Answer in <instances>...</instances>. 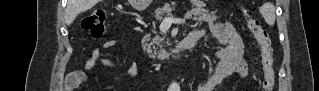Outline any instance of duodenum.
<instances>
[{
    "label": "duodenum",
    "mask_w": 319,
    "mask_h": 91,
    "mask_svg": "<svg viewBox=\"0 0 319 91\" xmlns=\"http://www.w3.org/2000/svg\"><path fill=\"white\" fill-rule=\"evenodd\" d=\"M198 37L195 34H190L189 36H187L185 39H183L182 41H180L174 48L172 51L169 52H165L163 54H160L158 56L159 60H169L171 59L173 56H175L178 53L187 51V50H191L192 48L195 47V45L197 44L198 41Z\"/></svg>",
    "instance_id": "410a0bca"
}]
</instances>
